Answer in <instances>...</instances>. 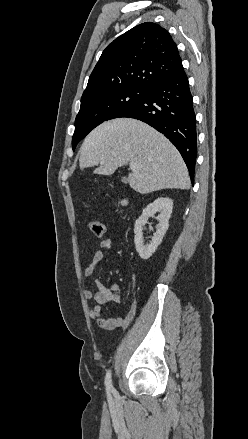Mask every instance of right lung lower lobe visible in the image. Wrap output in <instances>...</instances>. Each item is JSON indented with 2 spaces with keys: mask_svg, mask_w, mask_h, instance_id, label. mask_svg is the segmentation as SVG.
<instances>
[{
  "mask_svg": "<svg viewBox=\"0 0 248 439\" xmlns=\"http://www.w3.org/2000/svg\"><path fill=\"white\" fill-rule=\"evenodd\" d=\"M119 117L141 120L164 134L179 150L194 183L196 116L184 69L151 86L133 107Z\"/></svg>",
  "mask_w": 248,
  "mask_h": 439,
  "instance_id": "right-lung-lower-lobe-1",
  "label": "right lung lower lobe"
}]
</instances>
